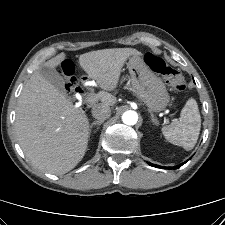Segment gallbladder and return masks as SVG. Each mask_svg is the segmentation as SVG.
Wrapping results in <instances>:
<instances>
[{
  "mask_svg": "<svg viewBox=\"0 0 225 225\" xmlns=\"http://www.w3.org/2000/svg\"><path fill=\"white\" fill-rule=\"evenodd\" d=\"M38 71L55 88L64 92V79L54 68L43 65Z\"/></svg>",
  "mask_w": 225,
  "mask_h": 225,
  "instance_id": "bac80fb5",
  "label": "gallbladder"
}]
</instances>
